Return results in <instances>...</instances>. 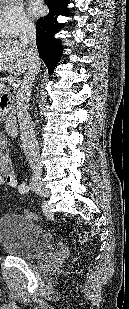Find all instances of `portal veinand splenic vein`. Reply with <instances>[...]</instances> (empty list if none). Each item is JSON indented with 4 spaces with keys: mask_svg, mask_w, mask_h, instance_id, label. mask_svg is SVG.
Masks as SVG:
<instances>
[{
    "mask_svg": "<svg viewBox=\"0 0 129 309\" xmlns=\"http://www.w3.org/2000/svg\"><path fill=\"white\" fill-rule=\"evenodd\" d=\"M19 80L18 79H16L15 77H11L9 80H8V83H9V85L10 86H12V87H17V86H19Z\"/></svg>",
    "mask_w": 129,
    "mask_h": 309,
    "instance_id": "1",
    "label": "portal vein and splenic vein"
}]
</instances>
